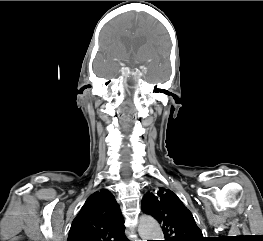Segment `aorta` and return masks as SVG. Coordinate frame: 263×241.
Returning <instances> with one entry per match:
<instances>
[{
	"label": "aorta",
	"mask_w": 263,
	"mask_h": 241,
	"mask_svg": "<svg viewBox=\"0 0 263 241\" xmlns=\"http://www.w3.org/2000/svg\"><path fill=\"white\" fill-rule=\"evenodd\" d=\"M138 232L142 241L160 240L162 237L161 229L157 221L150 216H142L139 220Z\"/></svg>",
	"instance_id": "762f6f07"
}]
</instances>
